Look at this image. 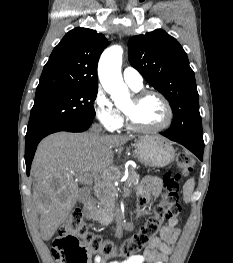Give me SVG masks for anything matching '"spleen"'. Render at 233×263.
Segmentation results:
<instances>
[{"label":"spleen","mask_w":233,"mask_h":263,"mask_svg":"<svg viewBox=\"0 0 233 263\" xmlns=\"http://www.w3.org/2000/svg\"><path fill=\"white\" fill-rule=\"evenodd\" d=\"M194 186H195V182L193 178L187 180V182L183 186V200L186 203L190 202L194 190Z\"/></svg>","instance_id":"1"}]
</instances>
